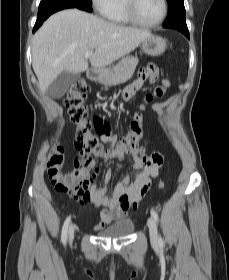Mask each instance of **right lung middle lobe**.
I'll use <instances>...</instances> for the list:
<instances>
[{
  "mask_svg": "<svg viewBox=\"0 0 229 280\" xmlns=\"http://www.w3.org/2000/svg\"><path fill=\"white\" fill-rule=\"evenodd\" d=\"M54 1H58V0H41V4L45 3V2H54ZM72 1H81L83 3L89 4L91 5V0H72Z\"/></svg>",
  "mask_w": 229,
  "mask_h": 280,
  "instance_id": "dd1d6c3e",
  "label": "right lung middle lobe"
}]
</instances>
